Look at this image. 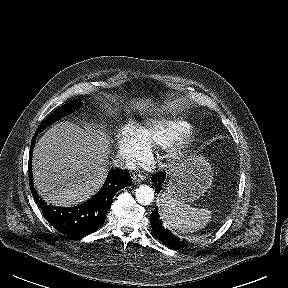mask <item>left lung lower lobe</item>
<instances>
[{"label":"left lung lower lobe","instance_id":"0a47b994","mask_svg":"<svg viewBox=\"0 0 288 288\" xmlns=\"http://www.w3.org/2000/svg\"><path fill=\"white\" fill-rule=\"evenodd\" d=\"M165 177L166 173L164 172L153 175L151 180L155 184V192H160ZM159 217L160 216L158 214V210L157 208H155V210L150 215V222L153 233L157 237V239H159L162 243L172 249H180L188 246L185 240H180L178 237H175L168 229H165Z\"/></svg>","mask_w":288,"mask_h":288}]
</instances>
